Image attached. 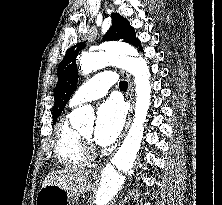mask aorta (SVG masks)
<instances>
[{"instance_id": "1", "label": "aorta", "mask_w": 222, "mask_h": 205, "mask_svg": "<svg viewBox=\"0 0 222 205\" xmlns=\"http://www.w3.org/2000/svg\"><path fill=\"white\" fill-rule=\"evenodd\" d=\"M80 65L84 75L108 65H117L135 76L137 98L134 123L117 153L103 169L95 190L96 205H107L123 188L128 174L142 152L144 124L153 97L151 74L137 50L123 43H108L98 51L83 53ZM70 122L75 128L83 124L92 125L93 108L87 105L76 108L70 114Z\"/></svg>"}]
</instances>
